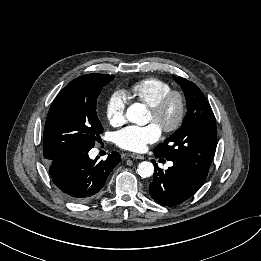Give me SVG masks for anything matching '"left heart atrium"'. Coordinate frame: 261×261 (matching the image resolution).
Masks as SVG:
<instances>
[{
  "instance_id": "39dd6f15",
  "label": "left heart atrium",
  "mask_w": 261,
  "mask_h": 261,
  "mask_svg": "<svg viewBox=\"0 0 261 261\" xmlns=\"http://www.w3.org/2000/svg\"><path fill=\"white\" fill-rule=\"evenodd\" d=\"M161 137V130L155 123L146 126L130 125L116 133L115 141L118 147L141 152L148 144L158 141Z\"/></svg>"
}]
</instances>
